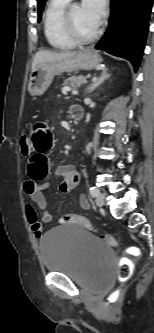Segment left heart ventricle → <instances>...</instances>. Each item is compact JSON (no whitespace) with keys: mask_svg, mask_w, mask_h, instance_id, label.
Instances as JSON below:
<instances>
[{"mask_svg":"<svg viewBox=\"0 0 154 333\" xmlns=\"http://www.w3.org/2000/svg\"><path fill=\"white\" fill-rule=\"evenodd\" d=\"M71 17L74 26L80 35L88 37L97 30V27L90 23V21L85 17L80 5L74 4L72 6Z\"/></svg>","mask_w":154,"mask_h":333,"instance_id":"1","label":"left heart ventricle"}]
</instances>
